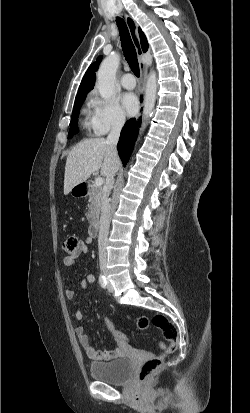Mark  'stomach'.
Masks as SVG:
<instances>
[{
	"label": "stomach",
	"mask_w": 250,
	"mask_h": 413,
	"mask_svg": "<svg viewBox=\"0 0 250 413\" xmlns=\"http://www.w3.org/2000/svg\"><path fill=\"white\" fill-rule=\"evenodd\" d=\"M78 185H79V184H78ZM78 185H77V186H78ZM77 186H75V187L72 188V190L70 191L71 194H72L73 196H75V197H79V196H81V195H84L85 193H84V192H80V190L77 189Z\"/></svg>",
	"instance_id": "stomach-1"
}]
</instances>
